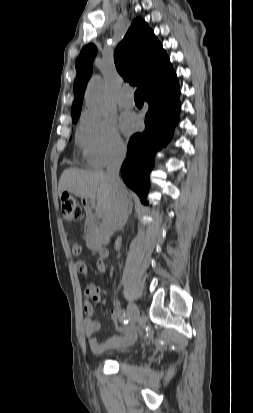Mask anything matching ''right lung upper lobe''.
<instances>
[{
  "label": "right lung upper lobe",
  "instance_id": "cb5924a9",
  "mask_svg": "<svg viewBox=\"0 0 253 413\" xmlns=\"http://www.w3.org/2000/svg\"><path fill=\"white\" fill-rule=\"evenodd\" d=\"M96 52L93 44L86 45L76 60L77 77L73 86L72 120L80 116ZM114 62L118 73L131 85L141 86L144 94L156 84L169 85L178 81L161 43L141 17L132 22L124 39L118 44L114 52Z\"/></svg>",
  "mask_w": 253,
  "mask_h": 413
}]
</instances>
